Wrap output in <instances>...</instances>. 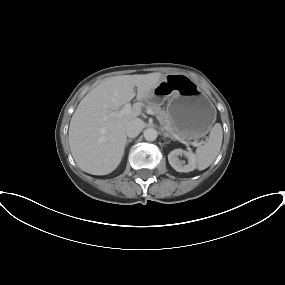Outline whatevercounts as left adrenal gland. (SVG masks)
<instances>
[{
  "label": "left adrenal gland",
  "mask_w": 285,
  "mask_h": 285,
  "mask_svg": "<svg viewBox=\"0 0 285 285\" xmlns=\"http://www.w3.org/2000/svg\"><path fill=\"white\" fill-rule=\"evenodd\" d=\"M163 136H164V137H168V138H170L171 140H174V138H173L170 134H168V133H166V132H163Z\"/></svg>",
  "instance_id": "a2214340"
}]
</instances>
